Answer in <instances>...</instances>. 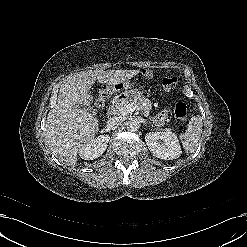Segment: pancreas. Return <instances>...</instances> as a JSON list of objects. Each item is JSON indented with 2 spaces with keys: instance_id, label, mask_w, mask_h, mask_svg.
Here are the masks:
<instances>
[{
  "instance_id": "1",
  "label": "pancreas",
  "mask_w": 247,
  "mask_h": 247,
  "mask_svg": "<svg viewBox=\"0 0 247 247\" xmlns=\"http://www.w3.org/2000/svg\"><path fill=\"white\" fill-rule=\"evenodd\" d=\"M126 105H137L139 110L144 112V115L148 116L150 111L152 110L151 101L142 96L139 91H134L133 95L127 98L119 99L115 98L112 101V111L116 114H121L120 109L125 107Z\"/></svg>"
}]
</instances>
